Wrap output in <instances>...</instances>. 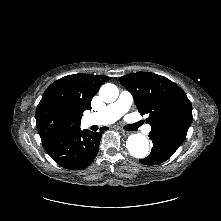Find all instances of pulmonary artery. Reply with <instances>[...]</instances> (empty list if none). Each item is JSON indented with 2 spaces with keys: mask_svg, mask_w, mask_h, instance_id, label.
Segmentation results:
<instances>
[{
  "mask_svg": "<svg viewBox=\"0 0 221 221\" xmlns=\"http://www.w3.org/2000/svg\"><path fill=\"white\" fill-rule=\"evenodd\" d=\"M132 103L133 97L131 93L122 91L115 102L109 104L103 110L92 114L91 117L96 124H111L124 115L130 109ZM150 130V126L145 127V132H149Z\"/></svg>",
  "mask_w": 221,
  "mask_h": 221,
  "instance_id": "1",
  "label": "pulmonary artery"
}]
</instances>
